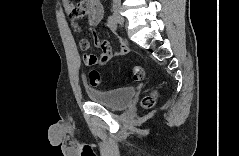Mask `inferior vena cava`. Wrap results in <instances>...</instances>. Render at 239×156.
Here are the masks:
<instances>
[{
	"label": "inferior vena cava",
	"instance_id": "602c4592",
	"mask_svg": "<svg viewBox=\"0 0 239 156\" xmlns=\"http://www.w3.org/2000/svg\"><path fill=\"white\" fill-rule=\"evenodd\" d=\"M115 3H119L120 2V0H113Z\"/></svg>",
	"mask_w": 239,
	"mask_h": 156
}]
</instances>
